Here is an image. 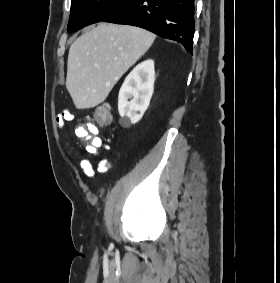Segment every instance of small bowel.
Masks as SVG:
<instances>
[{
    "label": "small bowel",
    "mask_w": 280,
    "mask_h": 283,
    "mask_svg": "<svg viewBox=\"0 0 280 283\" xmlns=\"http://www.w3.org/2000/svg\"><path fill=\"white\" fill-rule=\"evenodd\" d=\"M73 114L69 110H64L56 118V125L59 128H64L66 123L73 119ZM90 134L93 132H89ZM94 141V144H93ZM100 146L95 145V138L92 141L85 139V150L89 155L96 156L99 158V162L95 167L92 161L89 158H82L79 161L80 169L83 175L87 178H93L95 173L103 174L107 172L112 165L111 159L107 155L100 154Z\"/></svg>",
    "instance_id": "obj_1"
}]
</instances>
